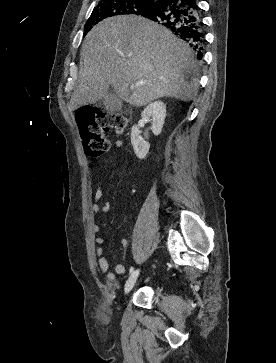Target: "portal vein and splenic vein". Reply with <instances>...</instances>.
<instances>
[{"label":"portal vein and splenic vein","instance_id":"1","mask_svg":"<svg viewBox=\"0 0 276 363\" xmlns=\"http://www.w3.org/2000/svg\"><path fill=\"white\" fill-rule=\"evenodd\" d=\"M136 86H138V84H136V85H131V86H130V89H131V90H133Z\"/></svg>","mask_w":276,"mask_h":363}]
</instances>
